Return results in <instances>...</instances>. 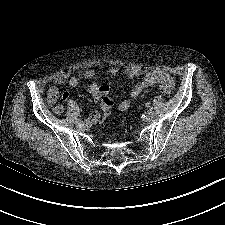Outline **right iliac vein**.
I'll list each match as a JSON object with an SVG mask.
<instances>
[{
  "instance_id": "63e3f726",
  "label": "right iliac vein",
  "mask_w": 225,
  "mask_h": 225,
  "mask_svg": "<svg viewBox=\"0 0 225 225\" xmlns=\"http://www.w3.org/2000/svg\"><path fill=\"white\" fill-rule=\"evenodd\" d=\"M77 126L80 127V128H83L84 127V122L83 121L77 122Z\"/></svg>"
}]
</instances>
